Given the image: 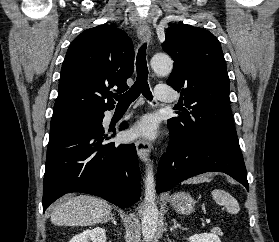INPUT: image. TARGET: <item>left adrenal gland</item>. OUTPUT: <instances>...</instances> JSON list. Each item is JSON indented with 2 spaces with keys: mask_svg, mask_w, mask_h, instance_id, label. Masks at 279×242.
I'll use <instances>...</instances> for the list:
<instances>
[{
  "mask_svg": "<svg viewBox=\"0 0 279 242\" xmlns=\"http://www.w3.org/2000/svg\"><path fill=\"white\" fill-rule=\"evenodd\" d=\"M173 221V226L170 228V230L172 231L173 229H182V230H186V228L182 227L179 223H177V221L175 219H172Z\"/></svg>",
  "mask_w": 279,
  "mask_h": 242,
  "instance_id": "obj_1",
  "label": "left adrenal gland"
}]
</instances>
